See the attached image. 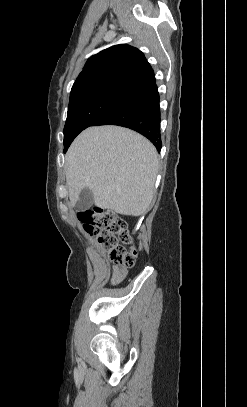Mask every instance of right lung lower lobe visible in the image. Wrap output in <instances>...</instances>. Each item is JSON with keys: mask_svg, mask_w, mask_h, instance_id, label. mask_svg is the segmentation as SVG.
<instances>
[{"mask_svg": "<svg viewBox=\"0 0 247 407\" xmlns=\"http://www.w3.org/2000/svg\"><path fill=\"white\" fill-rule=\"evenodd\" d=\"M159 93L155 82L125 99L100 117L92 126L119 125L130 128L148 138L161 150Z\"/></svg>", "mask_w": 247, "mask_h": 407, "instance_id": "right-lung-lower-lobe-1", "label": "right lung lower lobe"}]
</instances>
